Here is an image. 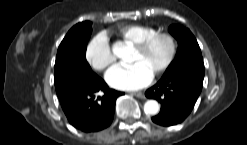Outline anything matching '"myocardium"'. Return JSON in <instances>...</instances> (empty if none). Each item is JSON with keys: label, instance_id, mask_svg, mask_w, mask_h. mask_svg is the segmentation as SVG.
Masks as SVG:
<instances>
[{"label": "myocardium", "instance_id": "myocardium-1", "mask_svg": "<svg viewBox=\"0 0 247 145\" xmlns=\"http://www.w3.org/2000/svg\"><path fill=\"white\" fill-rule=\"evenodd\" d=\"M160 38H164L168 41L169 43V53L168 56L166 58V60L164 61V63L153 73V77H159L161 76L163 73H165L168 68L172 65L176 54H177V41L176 38L169 32H155L153 34H151L150 36L146 37L144 40H142L140 43L135 45V49L140 52V53H144L146 52L150 46L157 40Z\"/></svg>", "mask_w": 247, "mask_h": 145}]
</instances>
